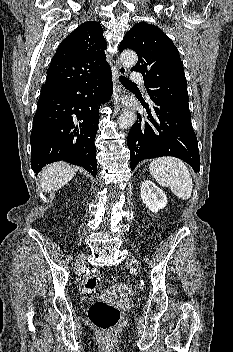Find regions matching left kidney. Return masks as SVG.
<instances>
[{
	"instance_id": "obj_1",
	"label": "left kidney",
	"mask_w": 233,
	"mask_h": 352,
	"mask_svg": "<svg viewBox=\"0 0 233 352\" xmlns=\"http://www.w3.org/2000/svg\"><path fill=\"white\" fill-rule=\"evenodd\" d=\"M141 199L145 206L154 213L163 209L167 204V197L163 190L150 180L143 181L141 185Z\"/></svg>"
}]
</instances>
